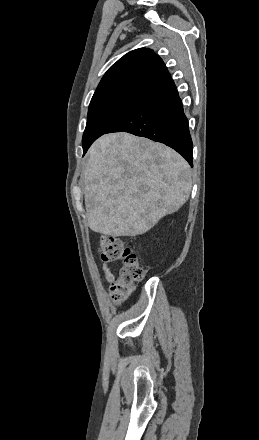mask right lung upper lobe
<instances>
[{
	"mask_svg": "<svg viewBox=\"0 0 259 440\" xmlns=\"http://www.w3.org/2000/svg\"><path fill=\"white\" fill-rule=\"evenodd\" d=\"M167 74L164 62L153 50L139 48L108 69L92 98L119 91L147 92Z\"/></svg>",
	"mask_w": 259,
	"mask_h": 440,
	"instance_id": "1",
	"label": "right lung upper lobe"
}]
</instances>
